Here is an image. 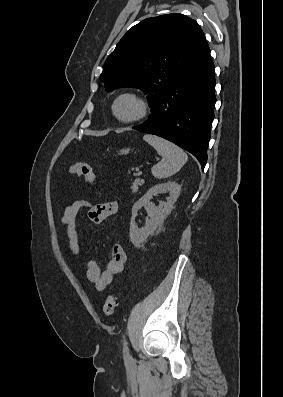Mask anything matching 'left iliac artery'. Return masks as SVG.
<instances>
[{
  "label": "left iliac artery",
  "mask_w": 283,
  "mask_h": 397,
  "mask_svg": "<svg viewBox=\"0 0 283 397\" xmlns=\"http://www.w3.org/2000/svg\"><path fill=\"white\" fill-rule=\"evenodd\" d=\"M123 354H124V358H125L126 360H129V359H130L129 348H128V342H127V340H126L125 337H124V340H123Z\"/></svg>",
  "instance_id": "1"
}]
</instances>
